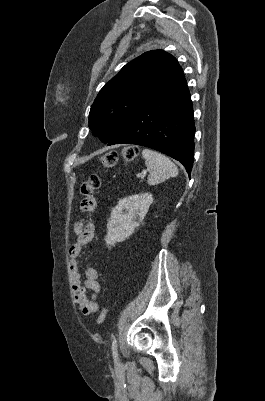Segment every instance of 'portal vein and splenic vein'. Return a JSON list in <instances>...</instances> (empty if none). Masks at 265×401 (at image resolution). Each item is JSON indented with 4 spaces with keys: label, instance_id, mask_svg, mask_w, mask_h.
Masks as SVG:
<instances>
[{
    "label": "portal vein and splenic vein",
    "instance_id": "obj_1",
    "mask_svg": "<svg viewBox=\"0 0 265 401\" xmlns=\"http://www.w3.org/2000/svg\"><path fill=\"white\" fill-rule=\"evenodd\" d=\"M147 170H142V172H138V174H136L138 179H141L142 176H144V174H146Z\"/></svg>",
    "mask_w": 265,
    "mask_h": 401
}]
</instances>
